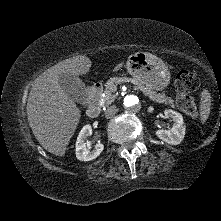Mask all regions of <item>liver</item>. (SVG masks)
I'll use <instances>...</instances> for the list:
<instances>
[{"label": "liver", "instance_id": "6515ba94", "mask_svg": "<svg viewBox=\"0 0 221 221\" xmlns=\"http://www.w3.org/2000/svg\"><path fill=\"white\" fill-rule=\"evenodd\" d=\"M122 64H118L113 72ZM91 66L92 62L86 56L72 57L43 72L32 85L26 106L29 126L41 146L56 156L65 155L81 118L76 103L62 89L59 77L63 73L85 75Z\"/></svg>", "mask_w": 221, "mask_h": 221}]
</instances>
